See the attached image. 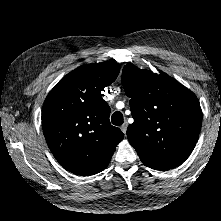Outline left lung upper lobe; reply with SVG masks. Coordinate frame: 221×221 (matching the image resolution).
Returning a JSON list of instances; mask_svg holds the SVG:
<instances>
[{
  "instance_id": "5c2ea615",
  "label": "left lung upper lobe",
  "mask_w": 221,
  "mask_h": 221,
  "mask_svg": "<svg viewBox=\"0 0 221 221\" xmlns=\"http://www.w3.org/2000/svg\"><path fill=\"white\" fill-rule=\"evenodd\" d=\"M124 66L122 85L134 118L127 137L143 163L168 168L182 164L193 151L202 124L195 94L169 75Z\"/></svg>"
}]
</instances>
